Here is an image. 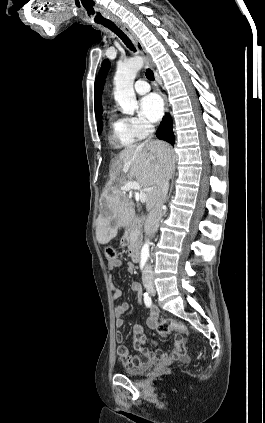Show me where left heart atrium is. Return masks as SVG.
Here are the masks:
<instances>
[{
    "label": "left heart atrium",
    "instance_id": "left-heart-atrium-1",
    "mask_svg": "<svg viewBox=\"0 0 265 423\" xmlns=\"http://www.w3.org/2000/svg\"><path fill=\"white\" fill-rule=\"evenodd\" d=\"M142 117L150 122H157L164 112L162 99L154 93L144 96L139 103Z\"/></svg>",
    "mask_w": 265,
    "mask_h": 423
}]
</instances>
